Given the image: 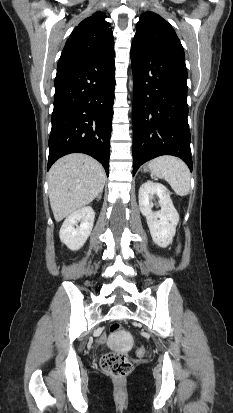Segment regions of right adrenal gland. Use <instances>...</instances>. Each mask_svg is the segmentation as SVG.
Wrapping results in <instances>:
<instances>
[{
	"label": "right adrenal gland",
	"mask_w": 233,
	"mask_h": 413,
	"mask_svg": "<svg viewBox=\"0 0 233 413\" xmlns=\"http://www.w3.org/2000/svg\"><path fill=\"white\" fill-rule=\"evenodd\" d=\"M102 192L99 194L98 199L101 200Z\"/></svg>",
	"instance_id": "obj_1"
}]
</instances>
